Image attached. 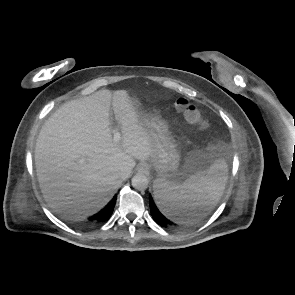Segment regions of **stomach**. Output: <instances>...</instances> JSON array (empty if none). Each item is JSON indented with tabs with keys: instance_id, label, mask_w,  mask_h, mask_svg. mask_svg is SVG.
<instances>
[{
	"instance_id": "0dacf381",
	"label": "stomach",
	"mask_w": 295,
	"mask_h": 295,
	"mask_svg": "<svg viewBox=\"0 0 295 295\" xmlns=\"http://www.w3.org/2000/svg\"><path fill=\"white\" fill-rule=\"evenodd\" d=\"M140 122L146 128L153 141L150 166H153L163 179H174L179 173L180 147L170 131L169 125L158 113H145L138 110ZM206 163L199 168L203 172L209 168Z\"/></svg>"
}]
</instances>
